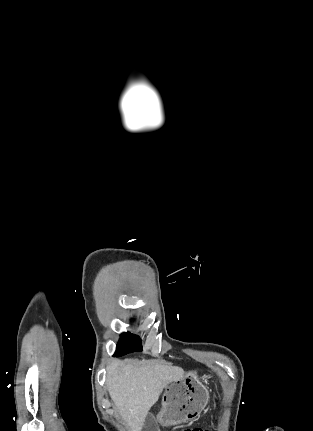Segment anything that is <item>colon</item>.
I'll use <instances>...</instances> for the list:
<instances>
[{
	"label": "colon",
	"mask_w": 313,
	"mask_h": 431,
	"mask_svg": "<svg viewBox=\"0 0 313 431\" xmlns=\"http://www.w3.org/2000/svg\"><path fill=\"white\" fill-rule=\"evenodd\" d=\"M183 431H208V430H205V429L200 428V427H195V428L185 429Z\"/></svg>",
	"instance_id": "5ec220e1"
}]
</instances>
